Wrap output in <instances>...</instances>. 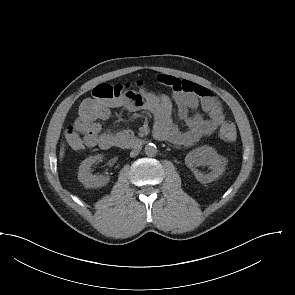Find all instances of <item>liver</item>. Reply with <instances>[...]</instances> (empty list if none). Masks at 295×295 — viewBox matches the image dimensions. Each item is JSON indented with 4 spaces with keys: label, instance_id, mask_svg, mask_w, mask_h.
Listing matches in <instances>:
<instances>
[{
    "label": "liver",
    "instance_id": "6515ba94",
    "mask_svg": "<svg viewBox=\"0 0 295 295\" xmlns=\"http://www.w3.org/2000/svg\"><path fill=\"white\" fill-rule=\"evenodd\" d=\"M63 156H64V146H62L60 150V159H62Z\"/></svg>",
    "mask_w": 295,
    "mask_h": 295
}]
</instances>
